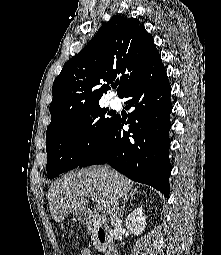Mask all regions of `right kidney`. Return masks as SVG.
Instances as JSON below:
<instances>
[{
  "instance_id": "ca27d5eb",
  "label": "right kidney",
  "mask_w": 221,
  "mask_h": 255,
  "mask_svg": "<svg viewBox=\"0 0 221 255\" xmlns=\"http://www.w3.org/2000/svg\"><path fill=\"white\" fill-rule=\"evenodd\" d=\"M146 226V216L142 207L134 209L126 218V228L136 236L143 233Z\"/></svg>"
}]
</instances>
